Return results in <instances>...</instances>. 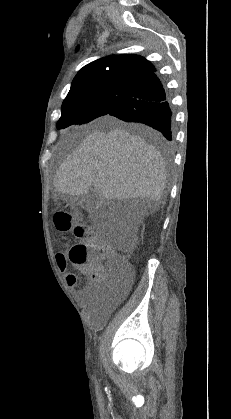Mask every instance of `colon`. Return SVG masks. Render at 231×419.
Returning a JSON list of instances; mask_svg holds the SVG:
<instances>
[{"label": "colon", "mask_w": 231, "mask_h": 419, "mask_svg": "<svg viewBox=\"0 0 231 419\" xmlns=\"http://www.w3.org/2000/svg\"><path fill=\"white\" fill-rule=\"evenodd\" d=\"M55 224L58 230L72 231L79 239L69 250L68 262L86 265L88 274L98 287L108 284L110 289L116 290L130 279L132 267L126 258V252L117 251L105 243L89 224L76 220L64 209L56 212ZM60 258L67 262L63 254H58L57 260Z\"/></svg>", "instance_id": "obj_1"}]
</instances>
